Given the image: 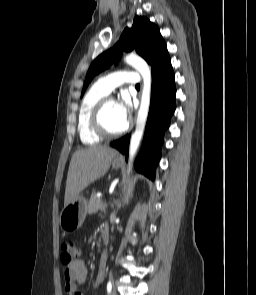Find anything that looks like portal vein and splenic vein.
<instances>
[{
  "label": "portal vein and splenic vein",
  "mask_w": 256,
  "mask_h": 295,
  "mask_svg": "<svg viewBox=\"0 0 256 295\" xmlns=\"http://www.w3.org/2000/svg\"><path fill=\"white\" fill-rule=\"evenodd\" d=\"M107 207V204L105 203V207L104 208H106Z\"/></svg>",
  "instance_id": "18ae733b"
}]
</instances>
